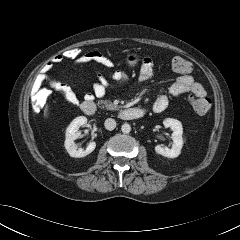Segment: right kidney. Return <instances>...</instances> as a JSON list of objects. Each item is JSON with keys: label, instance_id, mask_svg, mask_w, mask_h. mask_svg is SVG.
<instances>
[{"label": "right kidney", "instance_id": "1", "mask_svg": "<svg viewBox=\"0 0 240 240\" xmlns=\"http://www.w3.org/2000/svg\"><path fill=\"white\" fill-rule=\"evenodd\" d=\"M87 123V118L84 116L76 117L66 129V139H65V148L71 157L81 158L85 157L96 148V143L90 142L85 150L82 148L76 149L75 140L81 136L79 128L85 126Z\"/></svg>", "mask_w": 240, "mask_h": 240}]
</instances>
